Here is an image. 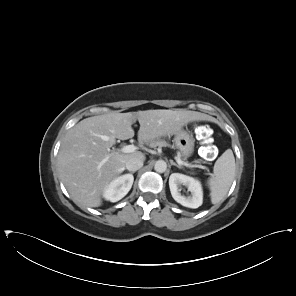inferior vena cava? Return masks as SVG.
<instances>
[{
	"label": "inferior vena cava",
	"instance_id": "inferior-vena-cava-1",
	"mask_svg": "<svg viewBox=\"0 0 296 296\" xmlns=\"http://www.w3.org/2000/svg\"><path fill=\"white\" fill-rule=\"evenodd\" d=\"M143 166V160L137 157L130 158L126 162V169L129 171H137Z\"/></svg>",
	"mask_w": 296,
	"mask_h": 296
}]
</instances>
